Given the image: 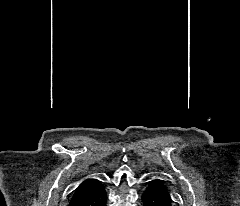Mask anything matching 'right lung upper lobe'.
Returning a JSON list of instances; mask_svg holds the SVG:
<instances>
[{
	"instance_id": "1",
	"label": "right lung upper lobe",
	"mask_w": 240,
	"mask_h": 206,
	"mask_svg": "<svg viewBox=\"0 0 240 206\" xmlns=\"http://www.w3.org/2000/svg\"><path fill=\"white\" fill-rule=\"evenodd\" d=\"M100 185L101 182L96 179H87L83 181L76 189L70 202L76 201L80 198H84L92 194Z\"/></svg>"
}]
</instances>
